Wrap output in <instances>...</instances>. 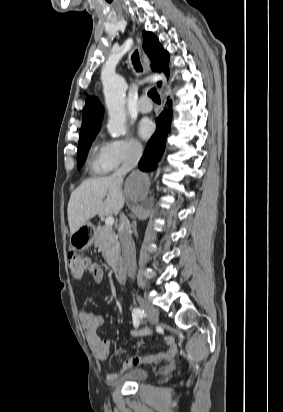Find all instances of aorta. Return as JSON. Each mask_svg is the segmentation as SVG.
<instances>
[{"label":"aorta","instance_id":"1","mask_svg":"<svg viewBox=\"0 0 283 412\" xmlns=\"http://www.w3.org/2000/svg\"><path fill=\"white\" fill-rule=\"evenodd\" d=\"M126 83L121 76L107 78L104 82L105 103L108 110V132L114 136L126 133L125 112ZM147 189V178L143 174L133 176L127 184V192L133 197L141 196Z\"/></svg>","mask_w":283,"mask_h":412}]
</instances>
